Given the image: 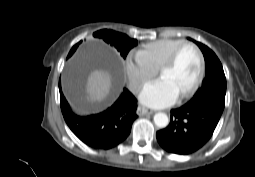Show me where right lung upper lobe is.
I'll return each mask as SVG.
<instances>
[{"instance_id":"obj_1","label":"right lung upper lobe","mask_w":255,"mask_h":177,"mask_svg":"<svg viewBox=\"0 0 255 177\" xmlns=\"http://www.w3.org/2000/svg\"><path fill=\"white\" fill-rule=\"evenodd\" d=\"M76 45H77V44H76ZM76 45L71 49V51H70L68 57H70V56L74 53Z\"/></svg>"}]
</instances>
